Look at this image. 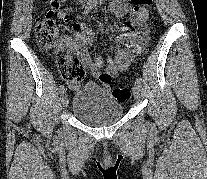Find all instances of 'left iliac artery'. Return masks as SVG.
Instances as JSON below:
<instances>
[{"label":"left iliac artery","mask_w":207,"mask_h":179,"mask_svg":"<svg viewBox=\"0 0 207 179\" xmlns=\"http://www.w3.org/2000/svg\"><path fill=\"white\" fill-rule=\"evenodd\" d=\"M135 83L140 85L142 83V78L141 77H137Z\"/></svg>","instance_id":"left-iliac-artery-1"}]
</instances>
